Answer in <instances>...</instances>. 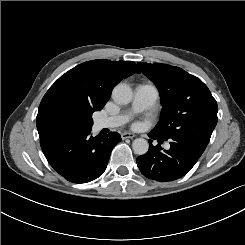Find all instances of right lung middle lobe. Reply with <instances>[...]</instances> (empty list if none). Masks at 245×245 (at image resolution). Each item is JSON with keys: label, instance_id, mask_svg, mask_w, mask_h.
<instances>
[{"label": "right lung middle lobe", "instance_id": "obj_1", "mask_svg": "<svg viewBox=\"0 0 245 245\" xmlns=\"http://www.w3.org/2000/svg\"><path fill=\"white\" fill-rule=\"evenodd\" d=\"M95 111L98 110L80 104L63 105L56 112L60 131L91 129Z\"/></svg>", "mask_w": 245, "mask_h": 245}]
</instances>
